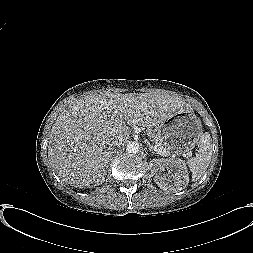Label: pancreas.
<instances>
[{
	"instance_id": "pancreas-1",
	"label": "pancreas",
	"mask_w": 253,
	"mask_h": 253,
	"mask_svg": "<svg viewBox=\"0 0 253 253\" xmlns=\"http://www.w3.org/2000/svg\"><path fill=\"white\" fill-rule=\"evenodd\" d=\"M151 137H152V139H153L157 144L160 145V147H161L163 150H165V151H167V152L169 153V151L163 146L162 142L159 140V138H158L157 136H155L154 134H152Z\"/></svg>"
}]
</instances>
